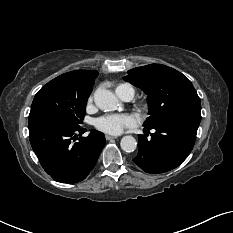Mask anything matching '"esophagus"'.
<instances>
[{
    "instance_id": "34e87169",
    "label": "esophagus",
    "mask_w": 233,
    "mask_h": 233,
    "mask_svg": "<svg viewBox=\"0 0 233 233\" xmlns=\"http://www.w3.org/2000/svg\"><path fill=\"white\" fill-rule=\"evenodd\" d=\"M105 138H106V140H114V139H116L117 137H115V136H110V135H106Z\"/></svg>"
}]
</instances>
